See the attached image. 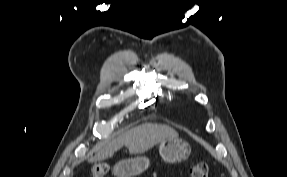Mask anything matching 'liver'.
I'll return each mask as SVG.
<instances>
[{"label":"liver","mask_w":287,"mask_h":177,"mask_svg":"<svg viewBox=\"0 0 287 177\" xmlns=\"http://www.w3.org/2000/svg\"><path fill=\"white\" fill-rule=\"evenodd\" d=\"M168 138H178V133L165 124L145 123L128 130L100 148L89 158V162L112 157L123 146L128 148L130 154L144 153Z\"/></svg>","instance_id":"1"}]
</instances>
